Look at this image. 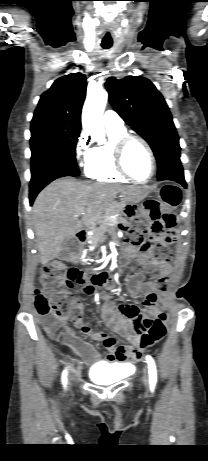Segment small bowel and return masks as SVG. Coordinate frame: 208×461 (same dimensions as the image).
Listing matches in <instances>:
<instances>
[{
  "instance_id": "c3829d8e",
  "label": "small bowel",
  "mask_w": 208,
  "mask_h": 461,
  "mask_svg": "<svg viewBox=\"0 0 208 461\" xmlns=\"http://www.w3.org/2000/svg\"><path fill=\"white\" fill-rule=\"evenodd\" d=\"M124 214L122 220L131 222L133 217H140L141 210L138 204H124ZM180 233L176 229H163L161 235V248L173 249L174 242L180 241ZM127 259L134 258L147 271H157L159 277L154 281L145 280L144 274L140 271L132 274L128 280V291L132 296L142 294L145 298L143 311L151 316H156L165 303L167 297L166 292L170 277L172 274L171 266L167 263L156 265L149 258L148 254L138 250L133 245H127L124 249ZM72 267L77 265L75 260L70 262ZM90 277H85L82 283L77 285V288L82 293L84 298L93 299L97 289H101L103 285L112 290L115 287L114 280L110 279V271H91ZM129 305V306H128ZM128 306L129 313L135 312L132 316L125 314L124 308ZM141 309L135 304H121L117 309L115 300L105 295L103 297V306L101 316L105 320L107 326L114 332L122 335L127 340H139L141 333L144 330L143 318L140 313ZM73 325L81 329L84 333L90 335L95 341L102 342L109 354L105 357L108 363L120 364L123 367V374L126 375L132 369V363L140 358V351L135 353L129 345L116 346V341L112 336H109L103 331H93L91 324L81 318L73 320ZM73 337L72 341H62L63 344L71 348L84 362L95 363L101 360V357L93 349L92 345L86 341H81Z\"/></svg>"
}]
</instances>
